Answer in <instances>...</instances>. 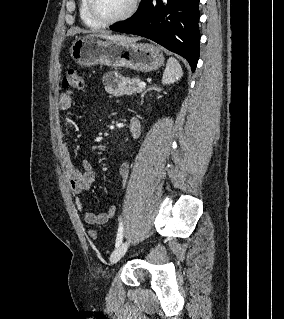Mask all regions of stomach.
Wrapping results in <instances>:
<instances>
[{"instance_id": "1", "label": "stomach", "mask_w": 284, "mask_h": 319, "mask_svg": "<svg viewBox=\"0 0 284 319\" xmlns=\"http://www.w3.org/2000/svg\"><path fill=\"white\" fill-rule=\"evenodd\" d=\"M73 60L81 66L96 64L125 67L140 72L159 69L164 63L161 50L148 43H122L95 36L77 38L70 48Z\"/></svg>"}]
</instances>
